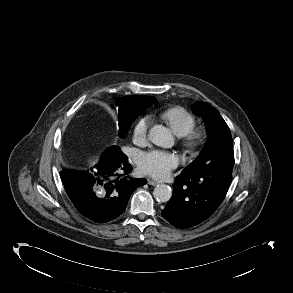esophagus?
I'll return each mask as SVG.
<instances>
[{
    "instance_id": "34e87169",
    "label": "esophagus",
    "mask_w": 293,
    "mask_h": 293,
    "mask_svg": "<svg viewBox=\"0 0 293 293\" xmlns=\"http://www.w3.org/2000/svg\"><path fill=\"white\" fill-rule=\"evenodd\" d=\"M147 181H148V184L152 185V186H157V185L160 184L159 181H156V180H153V179H148Z\"/></svg>"
}]
</instances>
